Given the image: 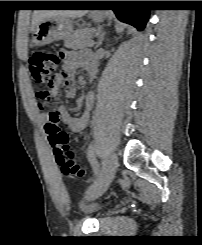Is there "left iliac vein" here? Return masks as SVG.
Segmentation results:
<instances>
[{"instance_id": "obj_1", "label": "left iliac vein", "mask_w": 202, "mask_h": 245, "mask_svg": "<svg viewBox=\"0 0 202 245\" xmlns=\"http://www.w3.org/2000/svg\"><path fill=\"white\" fill-rule=\"evenodd\" d=\"M118 166V158L115 152H111L107 155V157L103 160L102 172L96 179L95 189L89 195L90 198L96 199L101 196L111 184L116 169Z\"/></svg>"}]
</instances>
